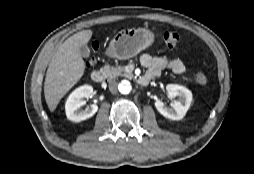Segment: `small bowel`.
<instances>
[{
    "instance_id": "1",
    "label": "small bowel",
    "mask_w": 254,
    "mask_h": 174,
    "mask_svg": "<svg viewBox=\"0 0 254 174\" xmlns=\"http://www.w3.org/2000/svg\"><path fill=\"white\" fill-rule=\"evenodd\" d=\"M140 62L147 69L144 75L157 77L165 68L171 69L176 74H184L186 67L179 59H169L166 57H154L144 53L140 57Z\"/></svg>"
}]
</instances>
